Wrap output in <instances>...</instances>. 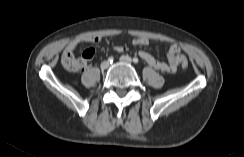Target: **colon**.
Instances as JSON below:
<instances>
[{"instance_id":"obj_1","label":"colon","mask_w":244,"mask_h":157,"mask_svg":"<svg viewBox=\"0 0 244 157\" xmlns=\"http://www.w3.org/2000/svg\"><path fill=\"white\" fill-rule=\"evenodd\" d=\"M90 56H91L90 51H87L85 54H83L82 57H77L74 51L65 49L61 57V64L66 70L73 73H77L83 69L86 58ZM180 64L183 68L188 67V60L185 56L181 57Z\"/></svg>"}]
</instances>
